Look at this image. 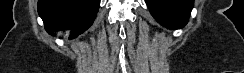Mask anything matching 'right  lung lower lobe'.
<instances>
[{
  "label": "right lung lower lobe",
  "mask_w": 244,
  "mask_h": 73,
  "mask_svg": "<svg viewBox=\"0 0 244 73\" xmlns=\"http://www.w3.org/2000/svg\"><path fill=\"white\" fill-rule=\"evenodd\" d=\"M99 4L100 0H38V13L48 33L71 29L72 38L92 25Z\"/></svg>",
  "instance_id": "1"
}]
</instances>
